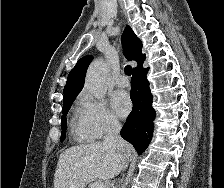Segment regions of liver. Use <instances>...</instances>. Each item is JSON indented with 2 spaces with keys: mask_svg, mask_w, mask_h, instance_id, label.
<instances>
[{
  "mask_svg": "<svg viewBox=\"0 0 224 188\" xmlns=\"http://www.w3.org/2000/svg\"><path fill=\"white\" fill-rule=\"evenodd\" d=\"M131 152V147L129 145ZM123 154L117 148L95 142L63 151L54 175V188H84L99 179H112L123 168Z\"/></svg>",
  "mask_w": 224,
  "mask_h": 188,
  "instance_id": "1",
  "label": "liver"
}]
</instances>
